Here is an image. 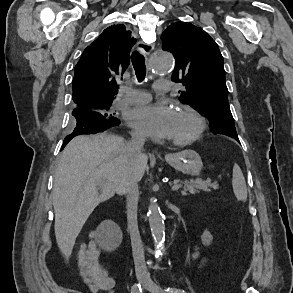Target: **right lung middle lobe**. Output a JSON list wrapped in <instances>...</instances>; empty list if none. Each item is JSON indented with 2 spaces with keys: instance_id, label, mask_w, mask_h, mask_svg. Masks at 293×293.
Listing matches in <instances>:
<instances>
[{
  "instance_id": "obj_1",
  "label": "right lung middle lobe",
  "mask_w": 293,
  "mask_h": 293,
  "mask_svg": "<svg viewBox=\"0 0 293 293\" xmlns=\"http://www.w3.org/2000/svg\"><path fill=\"white\" fill-rule=\"evenodd\" d=\"M97 107L96 112L102 113L105 116H114L115 112L111 109L112 101L100 100L94 102Z\"/></svg>"
}]
</instances>
